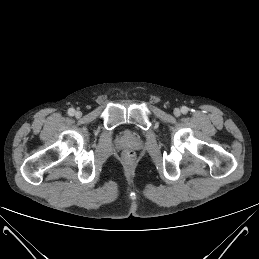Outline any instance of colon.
Wrapping results in <instances>:
<instances>
[{"mask_svg":"<svg viewBox=\"0 0 259 259\" xmlns=\"http://www.w3.org/2000/svg\"><path fill=\"white\" fill-rule=\"evenodd\" d=\"M132 156H133V153H132V152H127V153H126V157H127V158H132Z\"/></svg>","mask_w":259,"mask_h":259,"instance_id":"5ec220e1","label":"colon"}]
</instances>
